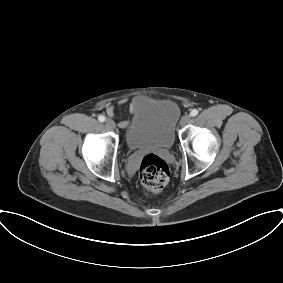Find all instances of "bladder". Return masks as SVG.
Returning a JSON list of instances; mask_svg holds the SVG:
<instances>
[{
    "instance_id": "1",
    "label": "bladder",
    "mask_w": 283,
    "mask_h": 283,
    "mask_svg": "<svg viewBox=\"0 0 283 283\" xmlns=\"http://www.w3.org/2000/svg\"><path fill=\"white\" fill-rule=\"evenodd\" d=\"M180 118L178 105L169 99L147 100L135 108L125 133L130 150L170 149L175 142V129Z\"/></svg>"
}]
</instances>
